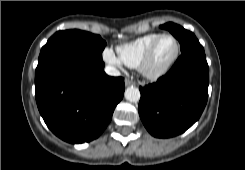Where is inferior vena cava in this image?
I'll list each match as a JSON object with an SVG mask.
<instances>
[{"mask_svg":"<svg viewBox=\"0 0 245 170\" xmlns=\"http://www.w3.org/2000/svg\"><path fill=\"white\" fill-rule=\"evenodd\" d=\"M105 72L107 75H110V76H120L119 70L113 66H106Z\"/></svg>","mask_w":245,"mask_h":170,"instance_id":"inferior-vena-cava-1","label":"inferior vena cava"}]
</instances>
